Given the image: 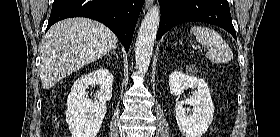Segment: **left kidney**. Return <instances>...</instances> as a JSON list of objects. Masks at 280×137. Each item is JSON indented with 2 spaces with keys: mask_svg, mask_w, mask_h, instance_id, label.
<instances>
[{
  "mask_svg": "<svg viewBox=\"0 0 280 137\" xmlns=\"http://www.w3.org/2000/svg\"><path fill=\"white\" fill-rule=\"evenodd\" d=\"M170 93L180 96L185 88H193L192 96L175 105L176 121L184 137H201L213 120L214 106L209 87L204 79L180 70L173 71L169 76ZM184 103L192 106L193 114L188 115L183 108Z\"/></svg>",
  "mask_w": 280,
  "mask_h": 137,
  "instance_id": "1",
  "label": "left kidney"
}]
</instances>
